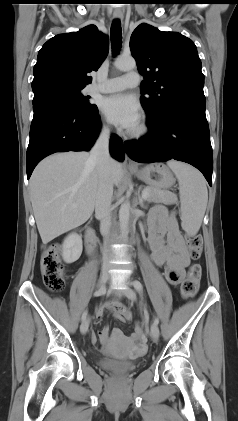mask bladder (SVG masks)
<instances>
[{"instance_id":"obj_1","label":"bladder","mask_w":238,"mask_h":421,"mask_svg":"<svg viewBox=\"0 0 238 421\" xmlns=\"http://www.w3.org/2000/svg\"><path fill=\"white\" fill-rule=\"evenodd\" d=\"M98 364L106 371L118 373L129 372L136 367V364L133 361L116 358H102L99 360Z\"/></svg>"}]
</instances>
